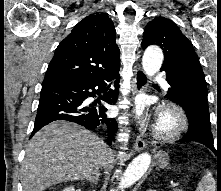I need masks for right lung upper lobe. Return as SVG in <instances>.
Listing matches in <instances>:
<instances>
[{
  "instance_id": "right-lung-upper-lobe-1",
  "label": "right lung upper lobe",
  "mask_w": 221,
  "mask_h": 191,
  "mask_svg": "<svg viewBox=\"0 0 221 191\" xmlns=\"http://www.w3.org/2000/svg\"><path fill=\"white\" fill-rule=\"evenodd\" d=\"M119 66L112 20L105 13L91 14L58 45L42 86L96 80Z\"/></svg>"
}]
</instances>
